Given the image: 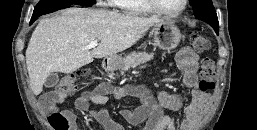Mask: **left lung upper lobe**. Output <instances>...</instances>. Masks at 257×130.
<instances>
[{
    "instance_id": "5c2ea615",
    "label": "left lung upper lobe",
    "mask_w": 257,
    "mask_h": 130,
    "mask_svg": "<svg viewBox=\"0 0 257 130\" xmlns=\"http://www.w3.org/2000/svg\"><path fill=\"white\" fill-rule=\"evenodd\" d=\"M190 3L195 17L207 21L214 29L219 28L217 14L211 0H190Z\"/></svg>"
}]
</instances>
